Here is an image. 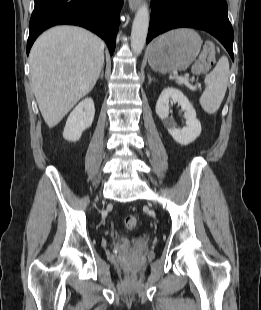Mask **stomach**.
<instances>
[{"instance_id": "1", "label": "stomach", "mask_w": 261, "mask_h": 310, "mask_svg": "<svg viewBox=\"0 0 261 310\" xmlns=\"http://www.w3.org/2000/svg\"><path fill=\"white\" fill-rule=\"evenodd\" d=\"M201 38L192 29H176L163 34L148 49V63L154 71H184L196 59Z\"/></svg>"}]
</instances>
